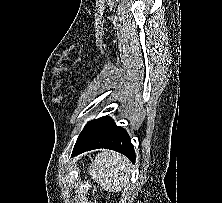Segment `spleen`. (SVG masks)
I'll return each mask as SVG.
<instances>
[{"mask_svg": "<svg viewBox=\"0 0 222 203\" xmlns=\"http://www.w3.org/2000/svg\"><path fill=\"white\" fill-rule=\"evenodd\" d=\"M133 170L130 161L123 155L113 151H101L90 167V175L110 191L125 189L130 181Z\"/></svg>", "mask_w": 222, "mask_h": 203, "instance_id": "obj_1", "label": "spleen"}]
</instances>
